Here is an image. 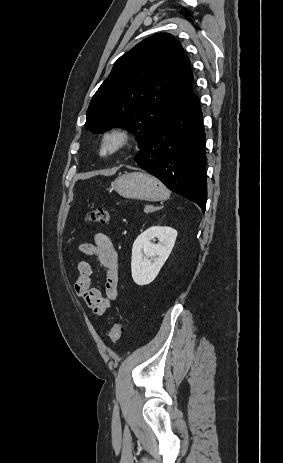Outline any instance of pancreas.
I'll return each mask as SVG.
<instances>
[{
  "label": "pancreas",
  "instance_id": "obj_1",
  "mask_svg": "<svg viewBox=\"0 0 283 463\" xmlns=\"http://www.w3.org/2000/svg\"><path fill=\"white\" fill-rule=\"evenodd\" d=\"M155 210H156L155 207L149 206V205L145 206V208H144L145 213L154 212Z\"/></svg>",
  "mask_w": 283,
  "mask_h": 463
}]
</instances>
